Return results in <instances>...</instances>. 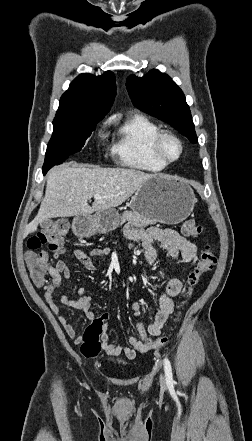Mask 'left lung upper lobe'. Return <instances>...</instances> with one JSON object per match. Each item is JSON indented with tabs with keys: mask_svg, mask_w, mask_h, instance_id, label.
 Segmentation results:
<instances>
[{
	"mask_svg": "<svg viewBox=\"0 0 252 441\" xmlns=\"http://www.w3.org/2000/svg\"><path fill=\"white\" fill-rule=\"evenodd\" d=\"M126 87L135 107L171 124L191 142H196L185 96L168 75L158 70H151L141 78L131 75L127 78Z\"/></svg>",
	"mask_w": 252,
	"mask_h": 441,
	"instance_id": "left-lung-upper-lobe-1",
	"label": "left lung upper lobe"
}]
</instances>
